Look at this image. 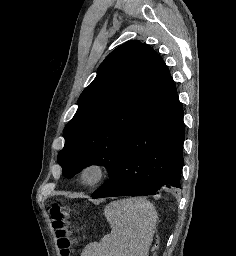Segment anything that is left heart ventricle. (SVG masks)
<instances>
[{
    "instance_id": "1",
    "label": "left heart ventricle",
    "mask_w": 236,
    "mask_h": 256,
    "mask_svg": "<svg viewBox=\"0 0 236 256\" xmlns=\"http://www.w3.org/2000/svg\"><path fill=\"white\" fill-rule=\"evenodd\" d=\"M94 175V172L92 170H89L86 172L85 177L86 179H91Z\"/></svg>"
}]
</instances>
